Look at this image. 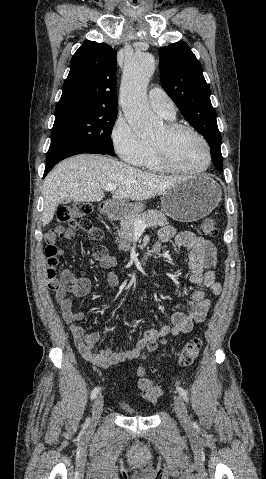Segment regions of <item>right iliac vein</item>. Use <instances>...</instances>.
<instances>
[{"label":"right iliac vein","mask_w":266,"mask_h":479,"mask_svg":"<svg viewBox=\"0 0 266 479\" xmlns=\"http://www.w3.org/2000/svg\"><path fill=\"white\" fill-rule=\"evenodd\" d=\"M103 404H104L103 396L101 395L97 396L93 403L91 428H94L97 425L100 415L102 413Z\"/></svg>","instance_id":"1"}]
</instances>
